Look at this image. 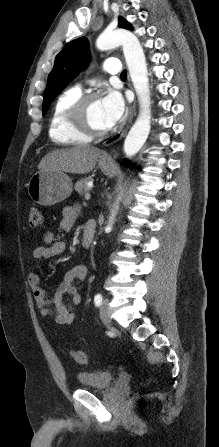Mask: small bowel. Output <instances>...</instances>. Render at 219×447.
Returning a JSON list of instances; mask_svg holds the SVG:
<instances>
[{
  "label": "small bowel",
  "instance_id": "c3829d8e",
  "mask_svg": "<svg viewBox=\"0 0 219 447\" xmlns=\"http://www.w3.org/2000/svg\"><path fill=\"white\" fill-rule=\"evenodd\" d=\"M78 217L76 208L67 207L63 210L60 228L69 231ZM44 240L48 243L46 246L37 247L33 256L38 260H46L61 255L65 250V243L59 240H53L50 233L44 236ZM87 276V267L78 264L68 270L61 281L58 283L56 291L49 299L47 292L40 285V278L36 272H31L27 277L28 285L33 293L36 305L40 309L42 317L48 318L55 316L58 324H71L74 320V313L70 305H78L81 302V294L75 286L77 281H82ZM65 299L70 305L65 303Z\"/></svg>",
  "mask_w": 219,
  "mask_h": 447
}]
</instances>
